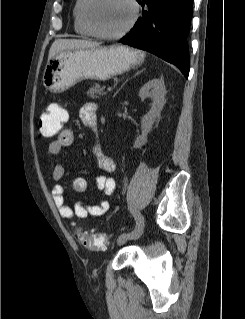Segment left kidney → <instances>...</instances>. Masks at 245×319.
<instances>
[{
    "label": "left kidney",
    "instance_id": "1",
    "mask_svg": "<svg viewBox=\"0 0 245 319\" xmlns=\"http://www.w3.org/2000/svg\"><path fill=\"white\" fill-rule=\"evenodd\" d=\"M166 87L163 79H152L145 83L140 91L139 97L142 101L150 97L152 99L150 111L142 117V135L137 138L135 145L141 146L147 141V135L152 130L153 124L161 114L165 104Z\"/></svg>",
    "mask_w": 245,
    "mask_h": 319
}]
</instances>
